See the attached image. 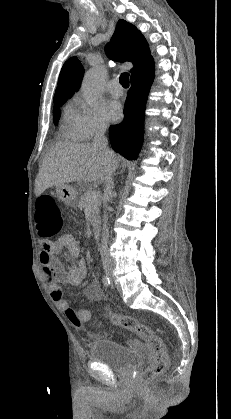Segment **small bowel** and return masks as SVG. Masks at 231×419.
<instances>
[{
  "label": "small bowel",
  "instance_id": "c3829d8e",
  "mask_svg": "<svg viewBox=\"0 0 231 419\" xmlns=\"http://www.w3.org/2000/svg\"><path fill=\"white\" fill-rule=\"evenodd\" d=\"M81 246L74 236L64 234L54 241H42L40 261L42 264V275L48 286L51 297L56 306L65 311L69 303L64 299L60 285L78 287L85 279L88 266L84 259L76 260L80 254ZM63 253L70 265L66 268L58 259V254ZM85 297L94 301L104 299V293L97 280L90 283L85 291ZM82 317L83 322L91 319V312L87 309L76 310Z\"/></svg>",
  "mask_w": 231,
  "mask_h": 419
}]
</instances>
